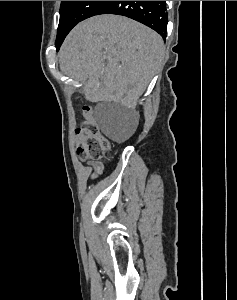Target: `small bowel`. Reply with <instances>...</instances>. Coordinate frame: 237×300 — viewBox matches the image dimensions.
Here are the masks:
<instances>
[{"label": "small bowel", "instance_id": "c3829d8e", "mask_svg": "<svg viewBox=\"0 0 237 300\" xmlns=\"http://www.w3.org/2000/svg\"><path fill=\"white\" fill-rule=\"evenodd\" d=\"M89 165L93 169V172H92V175H91L92 178L97 177L103 170V166L100 162H90Z\"/></svg>", "mask_w": 237, "mask_h": 300}]
</instances>
